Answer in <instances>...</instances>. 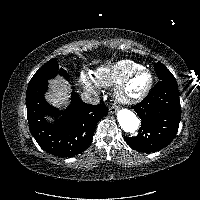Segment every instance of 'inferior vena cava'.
Listing matches in <instances>:
<instances>
[{
	"label": "inferior vena cava",
	"instance_id": "602c4592",
	"mask_svg": "<svg viewBox=\"0 0 200 200\" xmlns=\"http://www.w3.org/2000/svg\"><path fill=\"white\" fill-rule=\"evenodd\" d=\"M81 99L88 104H99L100 100L96 95L84 92L81 94Z\"/></svg>",
	"mask_w": 200,
	"mask_h": 200
}]
</instances>
